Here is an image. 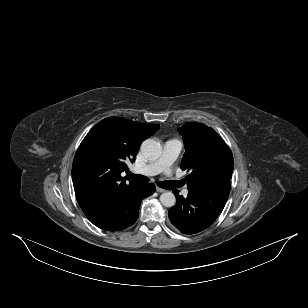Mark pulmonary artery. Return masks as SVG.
I'll return each instance as SVG.
<instances>
[{
  "instance_id": "obj_1",
  "label": "pulmonary artery",
  "mask_w": 308,
  "mask_h": 308,
  "mask_svg": "<svg viewBox=\"0 0 308 308\" xmlns=\"http://www.w3.org/2000/svg\"><path fill=\"white\" fill-rule=\"evenodd\" d=\"M181 150L182 142L178 139H170L165 142L163 154L158 160L150 162L146 166L138 168L136 171L148 176L156 175L161 172L169 174L171 165L178 158ZM188 192V189H184L182 194L187 196Z\"/></svg>"
}]
</instances>
